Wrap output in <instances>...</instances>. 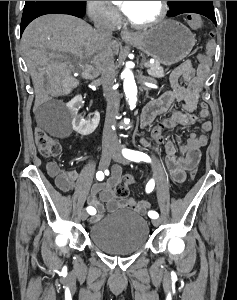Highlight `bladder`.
<instances>
[{
  "label": "bladder",
  "instance_id": "bladder-1",
  "mask_svg": "<svg viewBox=\"0 0 237 300\" xmlns=\"http://www.w3.org/2000/svg\"><path fill=\"white\" fill-rule=\"evenodd\" d=\"M150 235L147 220L139 213L124 209L93 223L88 237L98 249L111 254H133L145 247Z\"/></svg>",
  "mask_w": 237,
  "mask_h": 300
}]
</instances>
